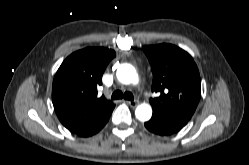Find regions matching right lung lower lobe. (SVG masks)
Listing matches in <instances>:
<instances>
[{
	"mask_svg": "<svg viewBox=\"0 0 249 165\" xmlns=\"http://www.w3.org/2000/svg\"><path fill=\"white\" fill-rule=\"evenodd\" d=\"M112 113V112H111ZM111 113L106 117L104 118L102 121H100L97 125L87 129V130H84V131H81L79 133H76L78 136H81V137H88V136H91V135H94L96 134L97 132H99L104 126L105 124L108 122L109 120V117L111 115Z\"/></svg>",
	"mask_w": 249,
	"mask_h": 165,
	"instance_id": "right-lung-lower-lobe-1",
	"label": "right lung lower lobe"
}]
</instances>
